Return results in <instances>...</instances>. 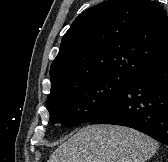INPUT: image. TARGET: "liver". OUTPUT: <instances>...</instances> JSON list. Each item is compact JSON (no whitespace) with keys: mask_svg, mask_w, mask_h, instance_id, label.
<instances>
[{"mask_svg":"<svg viewBox=\"0 0 168 162\" xmlns=\"http://www.w3.org/2000/svg\"><path fill=\"white\" fill-rule=\"evenodd\" d=\"M157 150V141L137 130L90 125L62 143L47 162H146Z\"/></svg>","mask_w":168,"mask_h":162,"instance_id":"1","label":"liver"}]
</instances>
